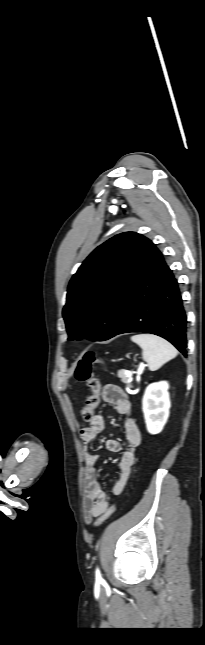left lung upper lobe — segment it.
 <instances>
[{
	"instance_id": "obj_1",
	"label": "left lung upper lobe",
	"mask_w": 205,
	"mask_h": 645,
	"mask_svg": "<svg viewBox=\"0 0 205 645\" xmlns=\"http://www.w3.org/2000/svg\"><path fill=\"white\" fill-rule=\"evenodd\" d=\"M145 237L125 232L97 247L73 275L63 317L68 340L90 335L104 341L117 323L124 285Z\"/></svg>"
}]
</instances>
